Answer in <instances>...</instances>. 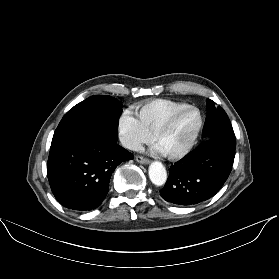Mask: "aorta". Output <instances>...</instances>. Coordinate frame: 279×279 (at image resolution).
Instances as JSON below:
<instances>
[{"label": "aorta", "mask_w": 279, "mask_h": 279, "mask_svg": "<svg viewBox=\"0 0 279 279\" xmlns=\"http://www.w3.org/2000/svg\"><path fill=\"white\" fill-rule=\"evenodd\" d=\"M149 178L156 186H162L167 180V172L161 162L154 161L149 166Z\"/></svg>", "instance_id": "1"}]
</instances>
